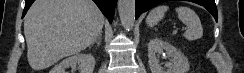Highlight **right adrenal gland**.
I'll use <instances>...</instances> for the list:
<instances>
[{
  "instance_id": "obj_1",
  "label": "right adrenal gland",
  "mask_w": 244,
  "mask_h": 73,
  "mask_svg": "<svg viewBox=\"0 0 244 73\" xmlns=\"http://www.w3.org/2000/svg\"><path fill=\"white\" fill-rule=\"evenodd\" d=\"M101 38H102V34H100V35L96 38V40L91 44V46H93L94 43H96L97 46H99V45L101 44Z\"/></svg>"
}]
</instances>
